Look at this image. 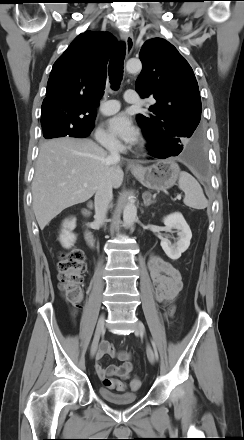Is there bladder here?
<instances>
[{
    "label": "bladder",
    "instance_id": "1",
    "mask_svg": "<svg viewBox=\"0 0 244 440\" xmlns=\"http://www.w3.org/2000/svg\"><path fill=\"white\" fill-rule=\"evenodd\" d=\"M99 396L112 404H131L138 401V393L134 391L129 392H113L106 387H99Z\"/></svg>",
    "mask_w": 244,
    "mask_h": 440
}]
</instances>
